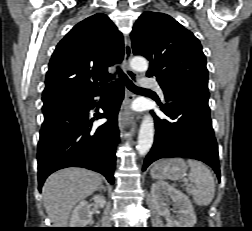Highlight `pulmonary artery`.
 <instances>
[{
    "mask_svg": "<svg viewBox=\"0 0 252 231\" xmlns=\"http://www.w3.org/2000/svg\"><path fill=\"white\" fill-rule=\"evenodd\" d=\"M141 85L145 88L154 89L160 95L161 98H164L163 90L160 86V83L156 80L151 78H142Z\"/></svg>",
    "mask_w": 252,
    "mask_h": 231,
    "instance_id": "1",
    "label": "pulmonary artery"
}]
</instances>
